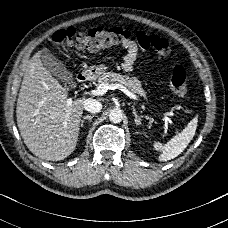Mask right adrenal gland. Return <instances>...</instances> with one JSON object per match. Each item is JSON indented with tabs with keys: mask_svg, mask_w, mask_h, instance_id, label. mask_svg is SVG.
<instances>
[{
	"mask_svg": "<svg viewBox=\"0 0 228 228\" xmlns=\"http://www.w3.org/2000/svg\"><path fill=\"white\" fill-rule=\"evenodd\" d=\"M92 118H93V116H90V115L83 116V119H80V122H81L80 126L83 127V123L86 119L91 122Z\"/></svg>",
	"mask_w": 228,
	"mask_h": 228,
	"instance_id": "right-adrenal-gland-1",
	"label": "right adrenal gland"
}]
</instances>
